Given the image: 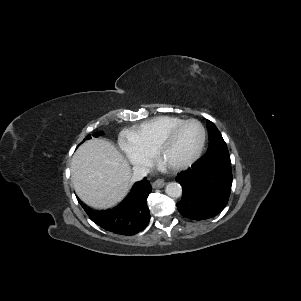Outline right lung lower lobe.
<instances>
[{
    "label": "right lung lower lobe",
    "instance_id": "right-lung-lower-lobe-1",
    "mask_svg": "<svg viewBox=\"0 0 301 301\" xmlns=\"http://www.w3.org/2000/svg\"><path fill=\"white\" fill-rule=\"evenodd\" d=\"M151 192V186L144 178L134 184L127 197L115 208L93 210L79 203L89 218L101 228L119 235L131 236L139 233L150 220L146 199Z\"/></svg>",
    "mask_w": 301,
    "mask_h": 301
}]
</instances>
